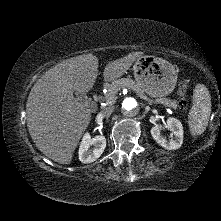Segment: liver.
<instances>
[{
	"label": "liver",
	"mask_w": 221,
	"mask_h": 221,
	"mask_svg": "<svg viewBox=\"0 0 221 221\" xmlns=\"http://www.w3.org/2000/svg\"><path fill=\"white\" fill-rule=\"evenodd\" d=\"M143 55L132 52L109 62L105 81L124 75ZM98 58L89 53L62 61L49 69L32 87L27 99V126L36 147L48 158L68 165L91 120V110L74 94H86L97 79Z\"/></svg>",
	"instance_id": "1"
}]
</instances>
